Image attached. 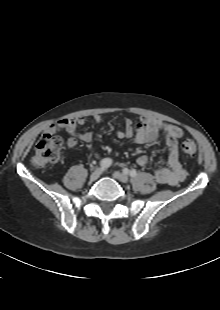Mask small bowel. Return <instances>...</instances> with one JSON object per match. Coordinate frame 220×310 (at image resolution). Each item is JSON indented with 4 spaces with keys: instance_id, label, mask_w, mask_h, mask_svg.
Here are the masks:
<instances>
[{
    "instance_id": "c3829d8e",
    "label": "small bowel",
    "mask_w": 220,
    "mask_h": 310,
    "mask_svg": "<svg viewBox=\"0 0 220 310\" xmlns=\"http://www.w3.org/2000/svg\"><path fill=\"white\" fill-rule=\"evenodd\" d=\"M94 120L98 123L103 121V116L97 114L94 116ZM86 119L83 116L74 118H64L58 122L51 124L47 127L46 132L54 134L57 131L65 130L69 134L67 139L68 148H75L78 144V140L85 143L92 144L94 141V135L91 132H79L78 126L83 125ZM165 134V145L168 149V165L159 166L153 174L154 180L159 184H166L170 186H176L181 183L185 177L186 172L180 161L179 152V140L184 136V131L181 127L165 123L155 118H142L138 122L134 123L127 119L124 123L123 129L117 131V137L119 139H129L137 144H153L159 133ZM96 158L99 157L98 153H95ZM149 159L146 155H141L136 159V163L140 167L147 166Z\"/></svg>"
}]
</instances>
